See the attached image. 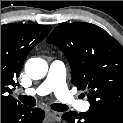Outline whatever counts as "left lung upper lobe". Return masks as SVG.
I'll return each mask as SVG.
<instances>
[{
	"label": "left lung upper lobe",
	"instance_id": "obj_1",
	"mask_svg": "<svg viewBox=\"0 0 123 123\" xmlns=\"http://www.w3.org/2000/svg\"><path fill=\"white\" fill-rule=\"evenodd\" d=\"M46 41L61 49L71 67V82L87 91L91 106L123 111V47L90 23L57 26Z\"/></svg>",
	"mask_w": 123,
	"mask_h": 123
}]
</instances>
